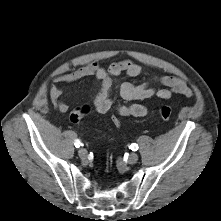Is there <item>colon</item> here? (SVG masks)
<instances>
[{"label":"colon","mask_w":221,"mask_h":221,"mask_svg":"<svg viewBox=\"0 0 221 221\" xmlns=\"http://www.w3.org/2000/svg\"><path fill=\"white\" fill-rule=\"evenodd\" d=\"M91 111L89 105H81L74 108L70 114V120L73 122H78L83 119L86 115H88ZM159 115L164 121H169L172 117V109L169 106L163 105L159 108ZM111 122H113L114 128L122 127V120L119 119L118 115L113 114L110 117Z\"/></svg>","instance_id":"1"}]
</instances>
